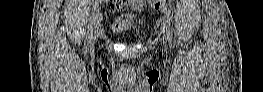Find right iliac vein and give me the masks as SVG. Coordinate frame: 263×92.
I'll return each mask as SVG.
<instances>
[{"mask_svg": "<svg viewBox=\"0 0 263 92\" xmlns=\"http://www.w3.org/2000/svg\"><path fill=\"white\" fill-rule=\"evenodd\" d=\"M101 18H102V16H101V13H100V19H98V25L96 26V29H95V31L92 33V35H91V38H90V42H89V47L91 48V47H93L94 46V44H95V42H96V39H97V36H98V34H99V31H100V21H101Z\"/></svg>", "mask_w": 263, "mask_h": 92, "instance_id": "obj_1", "label": "right iliac vein"}]
</instances>
